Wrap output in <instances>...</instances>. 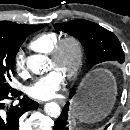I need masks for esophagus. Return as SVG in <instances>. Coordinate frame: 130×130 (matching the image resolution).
Returning <instances> with one entry per match:
<instances>
[{
	"mask_svg": "<svg viewBox=\"0 0 130 130\" xmlns=\"http://www.w3.org/2000/svg\"><path fill=\"white\" fill-rule=\"evenodd\" d=\"M54 101L60 105H64V103H65L64 100H62V99H55ZM40 103L42 104L43 102H40Z\"/></svg>",
	"mask_w": 130,
	"mask_h": 130,
	"instance_id": "34e87169",
	"label": "esophagus"
}]
</instances>
